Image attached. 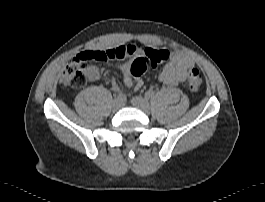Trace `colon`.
Here are the masks:
<instances>
[{
  "instance_id": "colon-1",
  "label": "colon",
  "mask_w": 265,
  "mask_h": 202,
  "mask_svg": "<svg viewBox=\"0 0 265 202\" xmlns=\"http://www.w3.org/2000/svg\"><path fill=\"white\" fill-rule=\"evenodd\" d=\"M80 59V65L90 62H105L110 60L122 59L123 52L116 51L115 49H108L105 52L95 50H84L77 54ZM169 59V53L165 50L150 51L148 50L143 56L137 57L131 64V73L135 77L142 76L151 68L161 66ZM61 83L67 87L79 88L83 87L86 83V75L81 66L70 65L68 66L62 77ZM203 83V77L199 70L195 67L189 69L185 81L187 89L191 92H197Z\"/></svg>"
}]
</instances>
